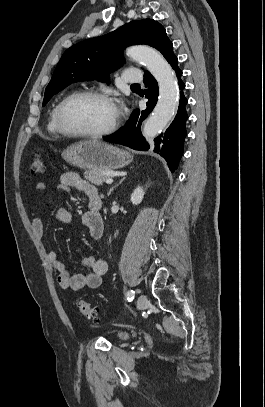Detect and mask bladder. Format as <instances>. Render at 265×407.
Returning a JSON list of instances; mask_svg holds the SVG:
<instances>
[{
    "label": "bladder",
    "mask_w": 265,
    "mask_h": 407,
    "mask_svg": "<svg viewBox=\"0 0 265 407\" xmlns=\"http://www.w3.org/2000/svg\"><path fill=\"white\" fill-rule=\"evenodd\" d=\"M116 337L119 339V340H127L129 337H130V334L128 333V332H118L117 334H116Z\"/></svg>",
    "instance_id": "1"
}]
</instances>
